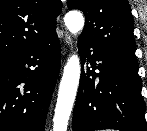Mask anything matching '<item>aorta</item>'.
Segmentation results:
<instances>
[{
    "mask_svg": "<svg viewBox=\"0 0 147 131\" xmlns=\"http://www.w3.org/2000/svg\"><path fill=\"white\" fill-rule=\"evenodd\" d=\"M64 21L72 34H77L83 29L84 17L78 11L68 12ZM80 69L79 57L74 54L68 59L64 67L53 118V131H67L68 121L79 85Z\"/></svg>",
    "mask_w": 147,
    "mask_h": 131,
    "instance_id": "obj_1",
    "label": "aorta"
}]
</instances>
